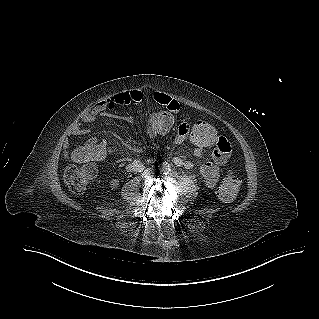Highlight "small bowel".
<instances>
[{"label": "small bowel", "instance_id": "small-bowel-1", "mask_svg": "<svg viewBox=\"0 0 319 319\" xmlns=\"http://www.w3.org/2000/svg\"><path fill=\"white\" fill-rule=\"evenodd\" d=\"M151 99L155 103L156 108H165L166 113H177L178 108L182 107L181 99H172L163 93L153 92ZM142 100L143 93L139 90L125 91L112 95L85 111L80 117V120L71 126L70 134L74 136L86 135L89 133L88 125L94 122L97 117L111 112L121 106L138 104L142 102ZM124 120L128 122L132 121L131 118H124ZM174 127L178 130L174 141L177 144H181L186 140L185 135L191 134V127L187 121H176ZM215 144L218 148L212 152L210 160L204 162L200 167V174L205 181V185L209 189L215 188L218 184L221 177V167L225 165L226 159L232 154L231 148L226 139L217 137L215 139ZM69 146L70 142L69 139H67L64 146L66 153H68ZM84 147L89 151H95L98 155V160L100 161L107 159L111 154V147L107 143L94 137L88 139ZM194 155L199 159H203L205 157V152L195 148ZM154 162V158L148 159V163L152 164ZM173 162L185 169H192L194 166L192 161L180 157H174ZM143 167V162L135 160L130 162L126 169L129 172H137L142 170Z\"/></svg>", "mask_w": 319, "mask_h": 319}]
</instances>
